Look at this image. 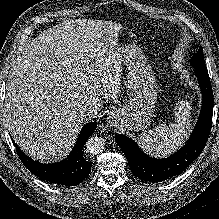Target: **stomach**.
<instances>
[{
	"mask_svg": "<svg viewBox=\"0 0 219 219\" xmlns=\"http://www.w3.org/2000/svg\"><path fill=\"white\" fill-rule=\"evenodd\" d=\"M118 61L126 69L128 101L110 116V122L128 132L146 130L154 116L158 86L145 53L135 44L117 46Z\"/></svg>",
	"mask_w": 219,
	"mask_h": 219,
	"instance_id": "stomach-1",
	"label": "stomach"
}]
</instances>
